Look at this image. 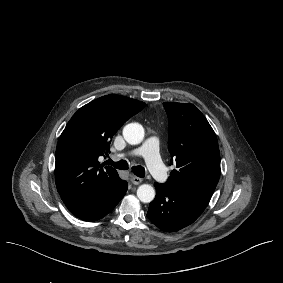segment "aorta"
<instances>
[{
  "label": "aorta",
  "mask_w": 283,
  "mask_h": 283,
  "mask_svg": "<svg viewBox=\"0 0 283 283\" xmlns=\"http://www.w3.org/2000/svg\"><path fill=\"white\" fill-rule=\"evenodd\" d=\"M144 134V128L139 123H129L123 128V137L131 145L140 144ZM137 197L143 203H150L155 198V189L149 184H142L137 189Z\"/></svg>",
  "instance_id": "762f6f07"
}]
</instances>
